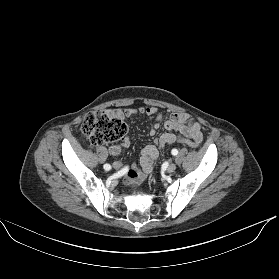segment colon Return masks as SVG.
Segmentation results:
<instances>
[{
  "mask_svg": "<svg viewBox=\"0 0 279 279\" xmlns=\"http://www.w3.org/2000/svg\"><path fill=\"white\" fill-rule=\"evenodd\" d=\"M81 131L91 145L98 146L121 139L126 134L127 127L115 113L98 110L84 117ZM177 142L192 148L199 146L198 143L187 138H180Z\"/></svg>",
  "mask_w": 279,
  "mask_h": 279,
  "instance_id": "colon-1",
  "label": "colon"
}]
</instances>
